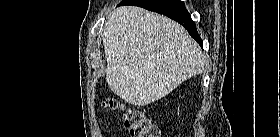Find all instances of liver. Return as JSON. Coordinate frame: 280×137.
<instances>
[{
  "instance_id": "1",
  "label": "liver",
  "mask_w": 280,
  "mask_h": 137,
  "mask_svg": "<svg viewBox=\"0 0 280 137\" xmlns=\"http://www.w3.org/2000/svg\"><path fill=\"white\" fill-rule=\"evenodd\" d=\"M106 82L125 102L145 106L204 70L199 45L178 23L134 6L114 10L103 33Z\"/></svg>"
}]
</instances>
